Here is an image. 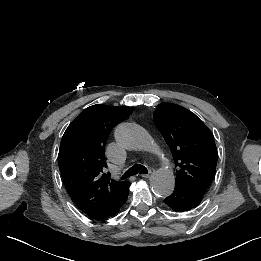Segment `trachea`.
Returning a JSON list of instances; mask_svg holds the SVG:
<instances>
[{
    "instance_id": "3493384b",
    "label": "trachea",
    "mask_w": 261,
    "mask_h": 261,
    "mask_svg": "<svg viewBox=\"0 0 261 261\" xmlns=\"http://www.w3.org/2000/svg\"><path fill=\"white\" fill-rule=\"evenodd\" d=\"M148 170L145 166L141 164H135L131 168H129L124 175L121 177L122 180L129 178L130 176L136 175V174H147Z\"/></svg>"
}]
</instances>
